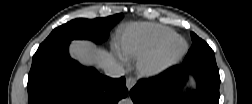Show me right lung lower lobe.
I'll return each mask as SVG.
<instances>
[{
  "label": "right lung lower lobe",
  "mask_w": 252,
  "mask_h": 104,
  "mask_svg": "<svg viewBox=\"0 0 252 104\" xmlns=\"http://www.w3.org/2000/svg\"><path fill=\"white\" fill-rule=\"evenodd\" d=\"M69 43L37 50L28 75L29 104H116L128 94L124 77L113 79L70 58Z\"/></svg>",
  "instance_id": "right-lung-lower-lobe-1"
}]
</instances>
